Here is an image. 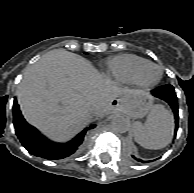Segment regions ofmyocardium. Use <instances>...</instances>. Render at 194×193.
I'll return each instance as SVG.
<instances>
[{"instance_id":"1","label":"myocardium","mask_w":194,"mask_h":193,"mask_svg":"<svg viewBox=\"0 0 194 193\" xmlns=\"http://www.w3.org/2000/svg\"><path fill=\"white\" fill-rule=\"evenodd\" d=\"M150 67L156 68L158 70V76L156 79H154L152 81H147L143 78V76H144L145 71ZM162 74H163V70H162V67L160 65L152 63V62H147L138 68V70L136 72V83L140 87L145 88V89L153 88L154 86H156L160 82V80L162 78Z\"/></svg>"}]
</instances>
